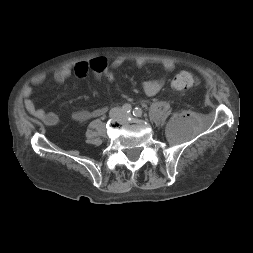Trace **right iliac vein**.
<instances>
[{
  "label": "right iliac vein",
  "instance_id": "right-iliac-vein-1",
  "mask_svg": "<svg viewBox=\"0 0 253 253\" xmlns=\"http://www.w3.org/2000/svg\"><path fill=\"white\" fill-rule=\"evenodd\" d=\"M121 114H122L121 111H116L115 116H118V115H121Z\"/></svg>",
  "mask_w": 253,
  "mask_h": 253
}]
</instances>
